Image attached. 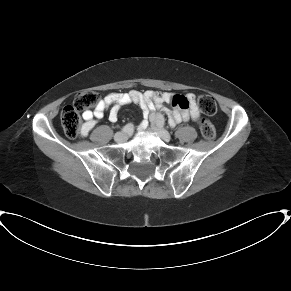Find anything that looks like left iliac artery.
Here are the masks:
<instances>
[{
    "label": "left iliac artery",
    "mask_w": 291,
    "mask_h": 291,
    "mask_svg": "<svg viewBox=\"0 0 291 291\" xmlns=\"http://www.w3.org/2000/svg\"><path fill=\"white\" fill-rule=\"evenodd\" d=\"M158 121L161 125L164 124V118L163 117H158Z\"/></svg>",
    "instance_id": "1"
}]
</instances>
